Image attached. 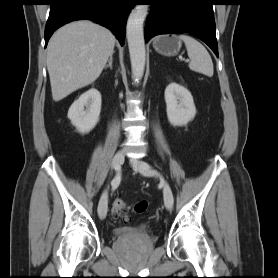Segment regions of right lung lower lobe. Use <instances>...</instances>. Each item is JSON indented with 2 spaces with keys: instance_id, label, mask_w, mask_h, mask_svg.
<instances>
[{
  "instance_id": "right-lung-lower-lobe-1",
  "label": "right lung lower lobe",
  "mask_w": 278,
  "mask_h": 278,
  "mask_svg": "<svg viewBox=\"0 0 278 278\" xmlns=\"http://www.w3.org/2000/svg\"><path fill=\"white\" fill-rule=\"evenodd\" d=\"M134 5V0H52L45 27V47L55 30L82 19L107 27L123 45L127 16Z\"/></svg>"
}]
</instances>
